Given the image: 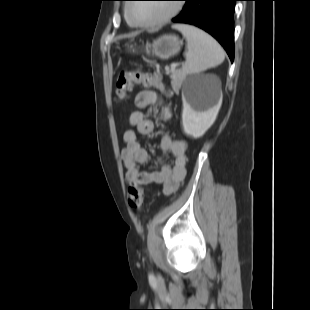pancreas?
Returning <instances> with one entry per match:
<instances>
[{"label": "pancreas", "mask_w": 310, "mask_h": 310, "mask_svg": "<svg viewBox=\"0 0 310 310\" xmlns=\"http://www.w3.org/2000/svg\"><path fill=\"white\" fill-rule=\"evenodd\" d=\"M170 78H171V86L173 88V90L178 93L180 87H181V84L183 82V79H184V76L181 74V73H178L177 71H172L171 72V75H170Z\"/></svg>", "instance_id": "cf45deb5"}]
</instances>
